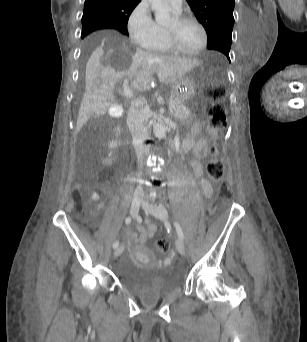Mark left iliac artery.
<instances>
[{
	"label": "left iliac artery",
	"mask_w": 307,
	"mask_h": 342,
	"mask_svg": "<svg viewBox=\"0 0 307 342\" xmlns=\"http://www.w3.org/2000/svg\"><path fill=\"white\" fill-rule=\"evenodd\" d=\"M174 225H175V228H176V231H177V234H178L179 238L181 240H183L184 235H183V231L181 229V226L177 222H174Z\"/></svg>",
	"instance_id": "1"
}]
</instances>
